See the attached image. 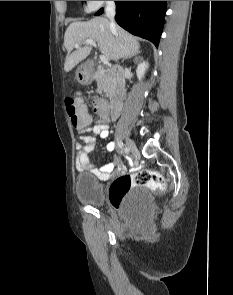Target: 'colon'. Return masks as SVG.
<instances>
[{
	"mask_svg": "<svg viewBox=\"0 0 233 295\" xmlns=\"http://www.w3.org/2000/svg\"><path fill=\"white\" fill-rule=\"evenodd\" d=\"M65 105L72 125L76 129L88 127L91 124L90 115L80 97H67ZM94 112L99 113L101 110L94 108ZM135 187L162 189L164 187V179L159 173L147 169L117 177L109 188V200L112 206L119 208Z\"/></svg>",
	"mask_w": 233,
	"mask_h": 295,
	"instance_id": "5ec220e1",
	"label": "colon"
}]
</instances>
